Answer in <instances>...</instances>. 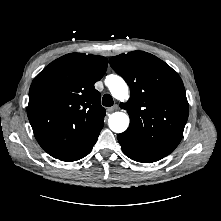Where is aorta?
<instances>
[{
    "mask_svg": "<svg viewBox=\"0 0 221 221\" xmlns=\"http://www.w3.org/2000/svg\"><path fill=\"white\" fill-rule=\"evenodd\" d=\"M111 95L119 100L126 101L129 98V89L126 82L118 75H109L105 79ZM129 116L124 112H115L109 116V128L115 133L124 132L129 126Z\"/></svg>",
    "mask_w": 221,
    "mask_h": 221,
    "instance_id": "762f6f07",
    "label": "aorta"
}]
</instances>
